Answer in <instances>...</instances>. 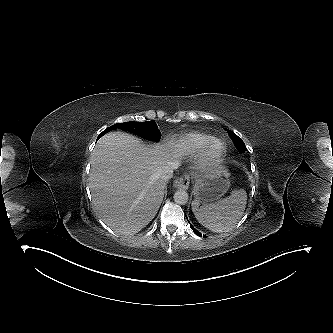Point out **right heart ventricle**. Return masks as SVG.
<instances>
[{"label":"right heart ventricle","mask_w":333,"mask_h":333,"mask_svg":"<svg viewBox=\"0 0 333 333\" xmlns=\"http://www.w3.org/2000/svg\"><path fill=\"white\" fill-rule=\"evenodd\" d=\"M211 139L212 137L210 135L191 132L179 137L176 142V147L188 154L194 155L202 152Z\"/></svg>","instance_id":"e07e8e85"}]
</instances>
